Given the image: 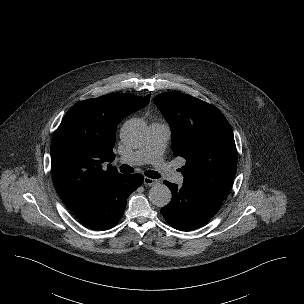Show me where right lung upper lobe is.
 I'll return each instance as SVG.
<instances>
[{"instance_id":"obj_1","label":"right lung upper lobe","mask_w":304,"mask_h":304,"mask_svg":"<svg viewBox=\"0 0 304 304\" xmlns=\"http://www.w3.org/2000/svg\"><path fill=\"white\" fill-rule=\"evenodd\" d=\"M150 96L104 95L73 105L57 128L51 142L54 184L63 202L77 213L98 194L104 183L118 175L111 164L115 154L117 125L145 107Z\"/></svg>"}]
</instances>
